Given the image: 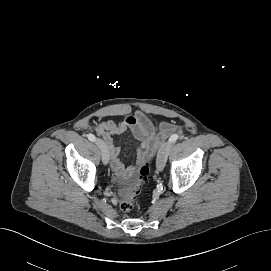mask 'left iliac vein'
I'll list each match as a JSON object with an SVG mask.
<instances>
[{
	"label": "left iliac vein",
	"instance_id": "1",
	"mask_svg": "<svg viewBox=\"0 0 271 271\" xmlns=\"http://www.w3.org/2000/svg\"><path fill=\"white\" fill-rule=\"evenodd\" d=\"M170 148H171L170 142L163 143L161 147L159 148V151L157 154V161H156L157 169L159 171H162L165 167Z\"/></svg>",
	"mask_w": 271,
	"mask_h": 271
}]
</instances>
